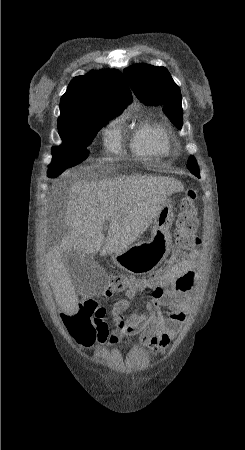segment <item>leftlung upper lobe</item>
<instances>
[{"label": "left lung upper lobe", "instance_id": "left-lung-upper-lobe-1", "mask_svg": "<svg viewBox=\"0 0 245 450\" xmlns=\"http://www.w3.org/2000/svg\"><path fill=\"white\" fill-rule=\"evenodd\" d=\"M124 76L138 99L150 105H163L172 123L177 128H182L180 88L165 67L137 64L124 69ZM187 167L200 178L197 161L193 156L189 158Z\"/></svg>", "mask_w": 245, "mask_h": 450}]
</instances>
